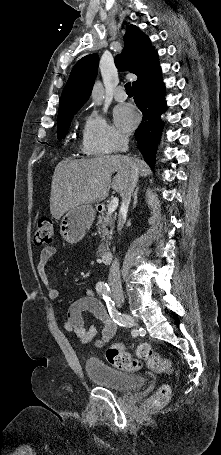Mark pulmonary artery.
<instances>
[{
    "label": "pulmonary artery",
    "mask_w": 221,
    "mask_h": 455,
    "mask_svg": "<svg viewBox=\"0 0 221 455\" xmlns=\"http://www.w3.org/2000/svg\"><path fill=\"white\" fill-rule=\"evenodd\" d=\"M113 96L118 102H123L127 99V94L122 86H119L114 90Z\"/></svg>",
    "instance_id": "obj_1"
}]
</instances>
